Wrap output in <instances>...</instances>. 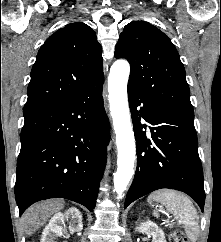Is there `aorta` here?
<instances>
[{
    "instance_id": "obj_1",
    "label": "aorta",
    "mask_w": 221,
    "mask_h": 242,
    "mask_svg": "<svg viewBox=\"0 0 221 242\" xmlns=\"http://www.w3.org/2000/svg\"><path fill=\"white\" fill-rule=\"evenodd\" d=\"M129 74V63L126 60H117L111 66L108 77V98L118 152L117 171L114 174V190L118 199L122 198V193L126 191L134 174L136 153L127 97Z\"/></svg>"
}]
</instances>
